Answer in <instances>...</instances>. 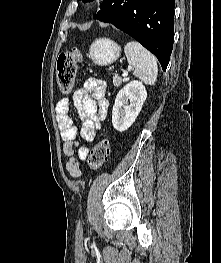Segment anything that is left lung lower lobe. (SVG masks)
Listing matches in <instances>:
<instances>
[{
    "label": "left lung lower lobe",
    "instance_id": "1",
    "mask_svg": "<svg viewBox=\"0 0 221 263\" xmlns=\"http://www.w3.org/2000/svg\"><path fill=\"white\" fill-rule=\"evenodd\" d=\"M175 0H105L94 19L129 34L166 70L173 48Z\"/></svg>",
    "mask_w": 221,
    "mask_h": 263
}]
</instances>
